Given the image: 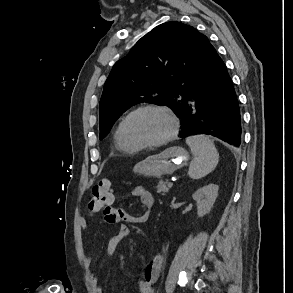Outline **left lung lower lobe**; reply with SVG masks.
<instances>
[{
  "mask_svg": "<svg viewBox=\"0 0 293 293\" xmlns=\"http://www.w3.org/2000/svg\"><path fill=\"white\" fill-rule=\"evenodd\" d=\"M180 137L207 134L231 145L241 144V116L226 66L214 47L202 80L181 101Z\"/></svg>",
  "mask_w": 293,
  "mask_h": 293,
  "instance_id": "left-lung-lower-lobe-1",
  "label": "left lung lower lobe"
}]
</instances>
